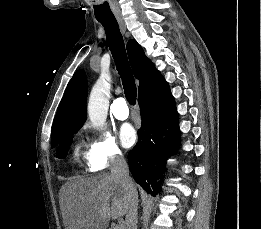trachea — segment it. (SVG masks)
Listing matches in <instances>:
<instances>
[{"mask_svg":"<svg viewBox=\"0 0 261 229\" xmlns=\"http://www.w3.org/2000/svg\"><path fill=\"white\" fill-rule=\"evenodd\" d=\"M105 30L107 44L111 50L118 73L122 79L125 97L131 105H135L137 88L128 62L123 36L114 16L96 17Z\"/></svg>","mask_w":261,"mask_h":229,"instance_id":"3493384b","label":"trachea"}]
</instances>
